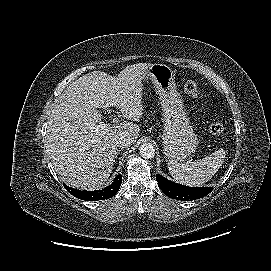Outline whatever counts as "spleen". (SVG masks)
Masks as SVG:
<instances>
[{"mask_svg": "<svg viewBox=\"0 0 271 271\" xmlns=\"http://www.w3.org/2000/svg\"><path fill=\"white\" fill-rule=\"evenodd\" d=\"M226 156L224 149H219L211 155L197 161L178 163L171 161L168 169L171 176L181 184L195 187L208 182L222 166Z\"/></svg>", "mask_w": 271, "mask_h": 271, "instance_id": "spleen-1", "label": "spleen"}]
</instances>
